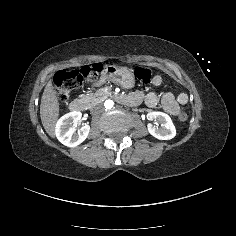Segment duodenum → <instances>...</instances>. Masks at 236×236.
<instances>
[{
  "label": "duodenum",
  "mask_w": 236,
  "mask_h": 236,
  "mask_svg": "<svg viewBox=\"0 0 236 236\" xmlns=\"http://www.w3.org/2000/svg\"><path fill=\"white\" fill-rule=\"evenodd\" d=\"M114 97L117 101L126 105L135 106L139 104V99L134 95L115 94ZM69 108L73 113H80L84 109V102L81 99H75L70 103Z\"/></svg>",
  "instance_id": "410a0bca"
}]
</instances>
